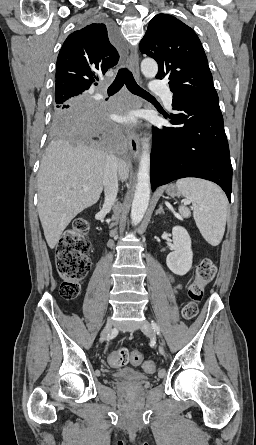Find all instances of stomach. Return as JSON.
<instances>
[{"label": "stomach", "mask_w": 256, "mask_h": 445, "mask_svg": "<svg viewBox=\"0 0 256 445\" xmlns=\"http://www.w3.org/2000/svg\"><path fill=\"white\" fill-rule=\"evenodd\" d=\"M166 193L171 197H176L180 195V190L174 184H170L166 189Z\"/></svg>", "instance_id": "stomach-1"}]
</instances>
